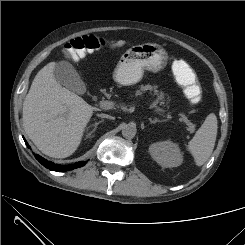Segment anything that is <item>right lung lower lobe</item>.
I'll list each match as a JSON object with an SVG mask.
<instances>
[{"label": "right lung lower lobe", "mask_w": 245, "mask_h": 245, "mask_svg": "<svg viewBox=\"0 0 245 245\" xmlns=\"http://www.w3.org/2000/svg\"><path fill=\"white\" fill-rule=\"evenodd\" d=\"M25 143L27 144L26 141H25ZM28 148H30V147L28 146ZM35 158L46 168H49L50 170H54V171H58V172L73 170V169L82 167L87 163L86 161L85 162L80 161V162H77L75 164L63 166V165L55 164L51 161H48V160L42 158L41 156H39L38 154H35Z\"/></svg>", "instance_id": "1"}]
</instances>
